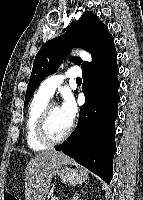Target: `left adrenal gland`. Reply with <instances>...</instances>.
Here are the masks:
<instances>
[{
	"instance_id": "a2214340",
	"label": "left adrenal gland",
	"mask_w": 143,
	"mask_h": 200,
	"mask_svg": "<svg viewBox=\"0 0 143 200\" xmlns=\"http://www.w3.org/2000/svg\"><path fill=\"white\" fill-rule=\"evenodd\" d=\"M72 200H79V194H78V192H76V193L74 194Z\"/></svg>"
}]
</instances>
